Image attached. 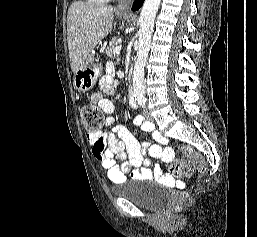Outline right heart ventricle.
Returning <instances> with one entry per match:
<instances>
[{
  "label": "right heart ventricle",
  "instance_id": "1",
  "mask_svg": "<svg viewBox=\"0 0 257 237\" xmlns=\"http://www.w3.org/2000/svg\"><path fill=\"white\" fill-rule=\"evenodd\" d=\"M87 1L94 4H99V3L106 2L107 0H87Z\"/></svg>",
  "mask_w": 257,
  "mask_h": 237
}]
</instances>
